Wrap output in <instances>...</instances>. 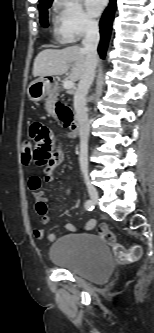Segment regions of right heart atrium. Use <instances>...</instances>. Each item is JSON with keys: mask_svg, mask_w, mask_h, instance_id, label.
<instances>
[{"mask_svg": "<svg viewBox=\"0 0 154 333\" xmlns=\"http://www.w3.org/2000/svg\"><path fill=\"white\" fill-rule=\"evenodd\" d=\"M56 36L63 43H73L93 32L96 22L87 14L79 0H57Z\"/></svg>", "mask_w": 154, "mask_h": 333, "instance_id": "obj_1", "label": "right heart atrium"}]
</instances>
